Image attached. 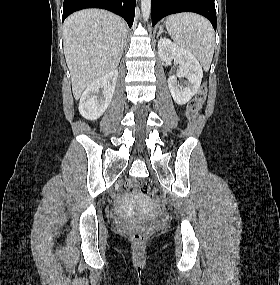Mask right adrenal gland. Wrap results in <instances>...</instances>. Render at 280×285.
<instances>
[{
    "mask_svg": "<svg viewBox=\"0 0 280 285\" xmlns=\"http://www.w3.org/2000/svg\"><path fill=\"white\" fill-rule=\"evenodd\" d=\"M125 47H126V39H125V42H124V46H123V49H125Z\"/></svg>",
    "mask_w": 280,
    "mask_h": 285,
    "instance_id": "1",
    "label": "right adrenal gland"
}]
</instances>
